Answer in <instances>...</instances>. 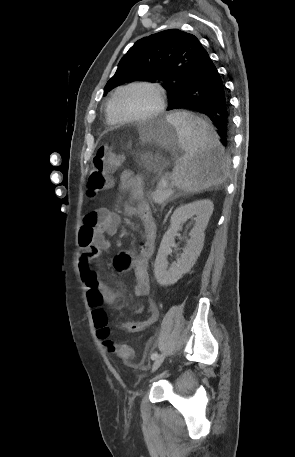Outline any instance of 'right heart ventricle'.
I'll return each mask as SVG.
<instances>
[{
    "instance_id": "right-heart-ventricle-1",
    "label": "right heart ventricle",
    "mask_w": 295,
    "mask_h": 457,
    "mask_svg": "<svg viewBox=\"0 0 295 457\" xmlns=\"http://www.w3.org/2000/svg\"><path fill=\"white\" fill-rule=\"evenodd\" d=\"M106 118H107V121L111 124H115L117 121H115L112 116L110 115V112H109V102L106 106Z\"/></svg>"
}]
</instances>
